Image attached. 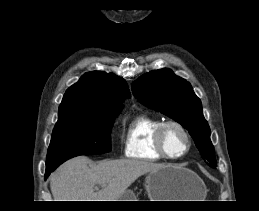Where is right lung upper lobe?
<instances>
[{
	"label": "right lung upper lobe",
	"instance_id": "obj_1",
	"mask_svg": "<svg viewBox=\"0 0 259 211\" xmlns=\"http://www.w3.org/2000/svg\"><path fill=\"white\" fill-rule=\"evenodd\" d=\"M130 92L123 78L114 74L93 71L84 74L65 93L59 106V115L73 111H120V104Z\"/></svg>",
	"mask_w": 259,
	"mask_h": 211
}]
</instances>
